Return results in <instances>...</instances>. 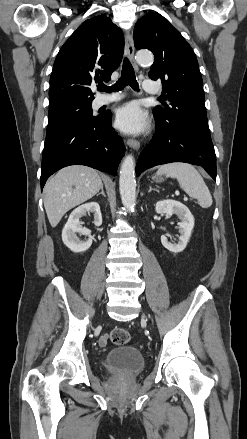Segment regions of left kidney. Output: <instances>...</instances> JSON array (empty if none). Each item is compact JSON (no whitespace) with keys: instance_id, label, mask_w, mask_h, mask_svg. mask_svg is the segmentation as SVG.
<instances>
[{"instance_id":"obj_1","label":"left kidney","mask_w":247,"mask_h":439,"mask_svg":"<svg viewBox=\"0 0 247 439\" xmlns=\"http://www.w3.org/2000/svg\"><path fill=\"white\" fill-rule=\"evenodd\" d=\"M155 211L158 214L173 215L176 214L180 222L179 225V240L177 243L168 241L165 235L161 236L162 245L173 253L182 252L191 237V232L194 228V217L190 210L182 203L175 200H161L156 203Z\"/></svg>"}]
</instances>
